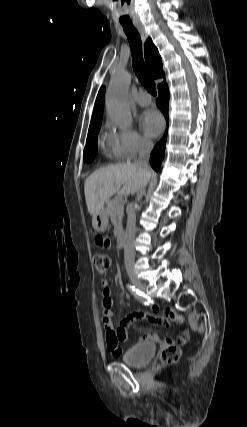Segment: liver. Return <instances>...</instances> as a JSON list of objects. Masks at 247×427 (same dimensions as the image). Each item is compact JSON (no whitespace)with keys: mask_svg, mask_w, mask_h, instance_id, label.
Wrapping results in <instances>:
<instances>
[{"mask_svg":"<svg viewBox=\"0 0 247 427\" xmlns=\"http://www.w3.org/2000/svg\"><path fill=\"white\" fill-rule=\"evenodd\" d=\"M146 180V172L136 163L127 162L96 170L84 184L89 214L93 217L97 215L103 209L106 200L120 189L124 194H135Z\"/></svg>","mask_w":247,"mask_h":427,"instance_id":"1","label":"liver"}]
</instances>
